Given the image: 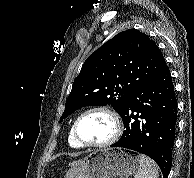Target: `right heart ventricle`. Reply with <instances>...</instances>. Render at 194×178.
I'll use <instances>...</instances> for the list:
<instances>
[{"label":"right heart ventricle","mask_w":194,"mask_h":178,"mask_svg":"<svg viewBox=\"0 0 194 178\" xmlns=\"http://www.w3.org/2000/svg\"><path fill=\"white\" fill-rule=\"evenodd\" d=\"M68 144L71 148L73 149H81L82 146H80L76 141L75 139L73 138V135H72V128L70 129L69 131V134H68Z\"/></svg>","instance_id":"e07e8e85"}]
</instances>
